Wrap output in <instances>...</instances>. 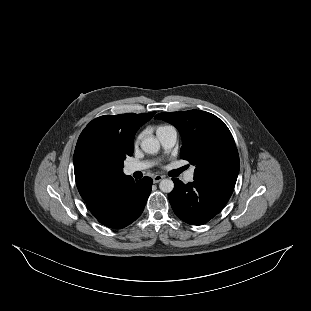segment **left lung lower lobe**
<instances>
[{"label":"left lung lower lobe","mask_w":311,"mask_h":311,"mask_svg":"<svg viewBox=\"0 0 311 311\" xmlns=\"http://www.w3.org/2000/svg\"><path fill=\"white\" fill-rule=\"evenodd\" d=\"M169 201L174 213L191 225H203L217 215L228 202L236 181L230 179H195L184 184L173 179Z\"/></svg>","instance_id":"0a47b994"}]
</instances>
